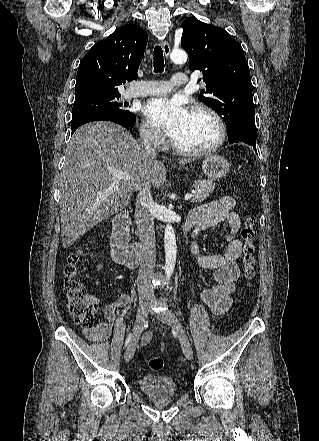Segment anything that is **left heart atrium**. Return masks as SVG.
Wrapping results in <instances>:
<instances>
[{
    "label": "left heart atrium",
    "instance_id": "obj_1",
    "mask_svg": "<svg viewBox=\"0 0 319 441\" xmlns=\"http://www.w3.org/2000/svg\"><path fill=\"white\" fill-rule=\"evenodd\" d=\"M144 113L172 138L178 134L189 116L183 101L170 97L150 99L144 106Z\"/></svg>",
    "mask_w": 319,
    "mask_h": 441
}]
</instances>
